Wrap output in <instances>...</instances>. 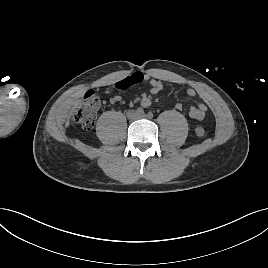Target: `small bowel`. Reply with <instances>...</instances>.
Segmentation results:
<instances>
[{
	"instance_id": "obj_1",
	"label": "small bowel",
	"mask_w": 268,
	"mask_h": 268,
	"mask_svg": "<svg viewBox=\"0 0 268 268\" xmlns=\"http://www.w3.org/2000/svg\"><path fill=\"white\" fill-rule=\"evenodd\" d=\"M125 79L131 80L133 82V85L139 84L142 82L148 83L150 94H157L163 89V82L160 79H158L152 75H149V74L135 72V73L131 74L130 76L117 82L116 85ZM186 93L190 97H194L197 94L196 90L194 88H191V87L186 90ZM120 101H121V97L119 95H115L110 99L111 103H118ZM140 104L142 107L147 108V107L151 106L152 100L149 96L145 95L141 98ZM175 108L177 110H181L182 104H180V103L176 104ZM206 110H207L206 104L204 102H200L196 106H192L190 108L189 116L195 121H201L205 117Z\"/></svg>"
}]
</instances>
